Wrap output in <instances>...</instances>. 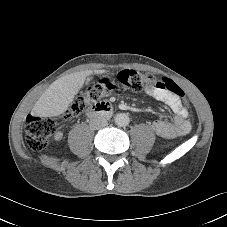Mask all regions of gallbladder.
I'll use <instances>...</instances> for the list:
<instances>
[{"instance_id":"obj_1","label":"gallbladder","mask_w":227,"mask_h":227,"mask_svg":"<svg viewBox=\"0 0 227 227\" xmlns=\"http://www.w3.org/2000/svg\"><path fill=\"white\" fill-rule=\"evenodd\" d=\"M90 81V78H87V81H86V83H88Z\"/></svg>"}]
</instances>
